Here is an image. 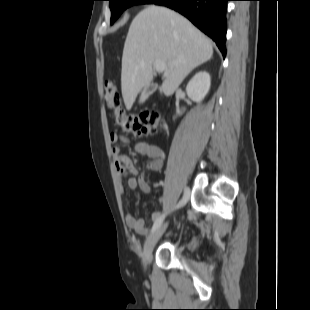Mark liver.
<instances>
[{
  "mask_svg": "<svg viewBox=\"0 0 310 310\" xmlns=\"http://www.w3.org/2000/svg\"><path fill=\"white\" fill-rule=\"evenodd\" d=\"M212 55L209 39L186 18L165 7H146L133 19L123 49L121 90L126 109L131 110L137 95L151 83L155 62L166 65L159 91L170 96Z\"/></svg>",
  "mask_w": 310,
  "mask_h": 310,
  "instance_id": "obj_1",
  "label": "liver"
}]
</instances>
